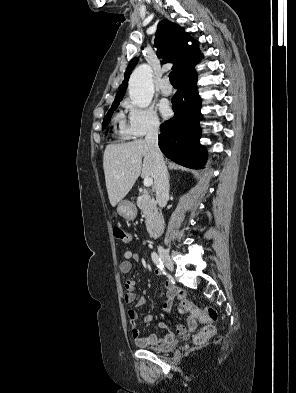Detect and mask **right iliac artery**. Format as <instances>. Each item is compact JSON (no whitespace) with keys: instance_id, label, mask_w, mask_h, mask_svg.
<instances>
[{"instance_id":"82829eb1","label":"right iliac artery","mask_w":296,"mask_h":393,"mask_svg":"<svg viewBox=\"0 0 296 393\" xmlns=\"http://www.w3.org/2000/svg\"><path fill=\"white\" fill-rule=\"evenodd\" d=\"M151 257H152L153 262L156 264V266L158 268H160V270H162L164 274H166L165 270H164L163 262H162L161 258L157 255V253L153 252Z\"/></svg>"}]
</instances>
